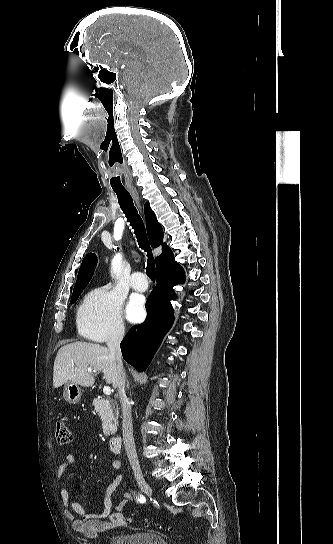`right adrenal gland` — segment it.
Instances as JSON below:
<instances>
[{"instance_id":"2a0ac1e0","label":"right adrenal gland","mask_w":333,"mask_h":544,"mask_svg":"<svg viewBox=\"0 0 333 544\" xmlns=\"http://www.w3.org/2000/svg\"><path fill=\"white\" fill-rule=\"evenodd\" d=\"M127 388H129V382H127Z\"/></svg>"}]
</instances>
